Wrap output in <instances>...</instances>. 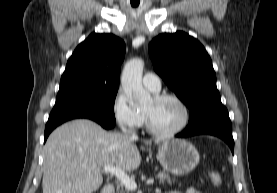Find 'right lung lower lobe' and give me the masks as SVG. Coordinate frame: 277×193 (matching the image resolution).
Wrapping results in <instances>:
<instances>
[{"label": "right lung lower lobe", "instance_id": "98d812e1", "mask_svg": "<svg viewBox=\"0 0 277 193\" xmlns=\"http://www.w3.org/2000/svg\"><path fill=\"white\" fill-rule=\"evenodd\" d=\"M76 118H87L99 123L105 129H111L115 125V121H111L94 112L75 108H53L50 113L48 122L45 127L44 142L49 136L50 132L60 124Z\"/></svg>", "mask_w": 277, "mask_h": 193}]
</instances>
